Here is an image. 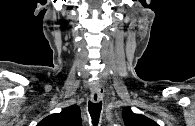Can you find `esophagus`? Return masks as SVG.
Wrapping results in <instances>:
<instances>
[{"mask_svg":"<svg viewBox=\"0 0 195 126\" xmlns=\"http://www.w3.org/2000/svg\"><path fill=\"white\" fill-rule=\"evenodd\" d=\"M90 97L92 102L98 103L103 99V92L100 88H92Z\"/></svg>","mask_w":195,"mask_h":126,"instance_id":"esophagus-1","label":"esophagus"}]
</instances>
